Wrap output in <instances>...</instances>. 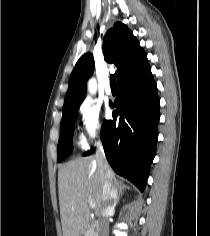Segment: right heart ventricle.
Listing matches in <instances>:
<instances>
[{
  "label": "right heart ventricle",
  "instance_id": "1",
  "mask_svg": "<svg viewBox=\"0 0 210 236\" xmlns=\"http://www.w3.org/2000/svg\"><path fill=\"white\" fill-rule=\"evenodd\" d=\"M78 145L82 148H85L86 147V143L83 141V140H79L78 141Z\"/></svg>",
  "mask_w": 210,
  "mask_h": 236
}]
</instances>
